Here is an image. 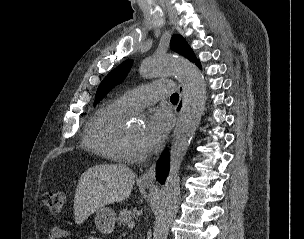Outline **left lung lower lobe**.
<instances>
[{
  "instance_id": "left-lung-lower-lobe-1",
  "label": "left lung lower lobe",
  "mask_w": 304,
  "mask_h": 239,
  "mask_svg": "<svg viewBox=\"0 0 304 239\" xmlns=\"http://www.w3.org/2000/svg\"><path fill=\"white\" fill-rule=\"evenodd\" d=\"M197 66L200 68L201 67L200 63H198ZM168 171H169V153L168 151H165L161 155L156 165V178L160 183L163 184L165 182Z\"/></svg>"
}]
</instances>
